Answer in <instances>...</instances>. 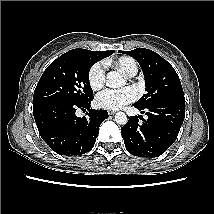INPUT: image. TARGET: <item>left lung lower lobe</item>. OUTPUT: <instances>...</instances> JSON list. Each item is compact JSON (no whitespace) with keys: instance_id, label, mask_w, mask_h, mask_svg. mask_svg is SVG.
I'll return each mask as SVG.
<instances>
[{"instance_id":"left-lung-lower-lobe-1","label":"left lung lower lobe","mask_w":214,"mask_h":214,"mask_svg":"<svg viewBox=\"0 0 214 214\" xmlns=\"http://www.w3.org/2000/svg\"><path fill=\"white\" fill-rule=\"evenodd\" d=\"M136 107V106H134ZM147 120L138 123L132 116L121 128L125 147L129 153L139 157H157L164 153L176 140L185 116V103L161 102L145 108Z\"/></svg>"}]
</instances>
